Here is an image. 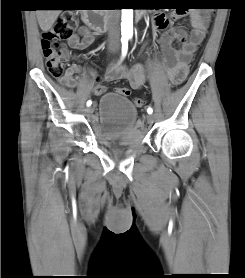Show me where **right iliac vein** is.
<instances>
[{"label": "right iliac vein", "instance_id": "right-iliac-vein-1", "mask_svg": "<svg viewBox=\"0 0 245 278\" xmlns=\"http://www.w3.org/2000/svg\"><path fill=\"white\" fill-rule=\"evenodd\" d=\"M93 111H94L93 107H88V108L86 109V113H87L88 115L92 114Z\"/></svg>", "mask_w": 245, "mask_h": 278}]
</instances>
